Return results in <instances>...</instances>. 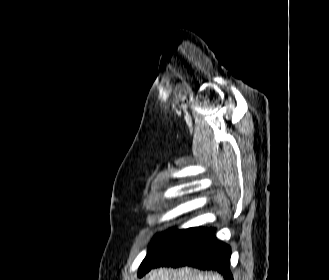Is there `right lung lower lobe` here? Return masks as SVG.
Wrapping results in <instances>:
<instances>
[{"mask_svg":"<svg viewBox=\"0 0 329 280\" xmlns=\"http://www.w3.org/2000/svg\"><path fill=\"white\" fill-rule=\"evenodd\" d=\"M230 256V247L217 240L213 228H188L171 243L146 272L160 266L188 265L217 270L224 275L225 280H233L229 270Z\"/></svg>","mask_w":329,"mask_h":280,"instance_id":"98d812e1","label":"right lung lower lobe"}]
</instances>
